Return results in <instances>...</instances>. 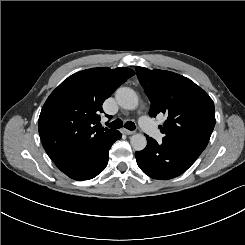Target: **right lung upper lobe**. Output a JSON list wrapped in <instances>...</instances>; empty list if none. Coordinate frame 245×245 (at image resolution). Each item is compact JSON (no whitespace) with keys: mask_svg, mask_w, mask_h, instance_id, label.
<instances>
[{"mask_svg":"<svg viewBox=\"0 0 245 245\" xmlns=\"http://www.w3.org/2000/svg\"><path fill=\"white\" fill-rule=\"evenodd\" d=\"M135 72L129 68H92L64 80L46 100L38 121L43 147L58 162L72 149L108 136L100 127L103 102Z\"/></svg>","mask_w":245,"mask_h":245,"instance_id":"obj_1","label":"right lung upper lobe"}]
</instances>
